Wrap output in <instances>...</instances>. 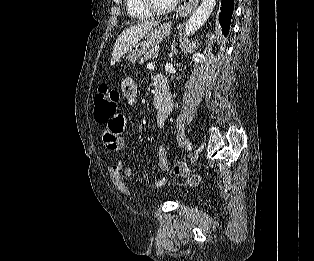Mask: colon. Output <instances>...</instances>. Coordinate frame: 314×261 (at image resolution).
Returning a JSON list of instances; mask_svg holds the SVG:
<instances>
[{
  "instance_id": "obj_1",
  "label": "colon",
  "mask_w": 314,
  "mask_h": 261,
  "mask_svg": "<svg viewBox=\"0 0 314 261\" xmlns=\"http://www.w3.org/2000/svg\"><path fill=\"white\" fill-rule=\"evenodd\" d=\"M94 103V117L100 124L104 125V121L109 120V116H113V113H119V94L116 90L107 86H102L96 91ZM173 172L176 175L182 176H187L189 173L186 166L180 163L173 166Z\"/></svg>"
}]
</instances>
